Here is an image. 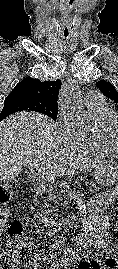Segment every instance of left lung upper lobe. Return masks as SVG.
I'll return each instance as SVG.
<instances>
[{
    "label": "left lung upper lobe",
    "instance_id": "obj_1",
    "mask_svg": "<svg viewBox=\"0 0 118 269\" xmlns=\"http://www.w3.org/2000/svg\"><path fill=\"white\" fill-rule=\"evenodd\" d=\"M96 84L106 97L118 103V92L111 83L106 81H98Z\"/></svg>",
    "mask_w": 118,
    "mask_h": 269
}]
</instances>
